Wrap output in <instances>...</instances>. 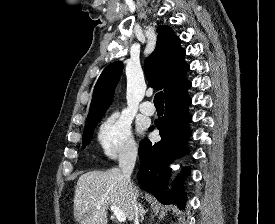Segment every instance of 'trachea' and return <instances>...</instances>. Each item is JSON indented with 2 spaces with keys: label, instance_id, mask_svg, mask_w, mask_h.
Listing matches in <instances>:
<instances>
[{
  "label": "trachea",
  "instance_id": "1",
  "mask_svg": "<svg viewBox=\"0 0 275 224\" xmlns=\"http://www.w3.org/2000/svg\"><path fill=\"white\" fill-rule=\"evenodd\" d=\"M154 104L155 106H164V96L163 92H158L154 97Z\"/></svg>",
  "mask_w": 275,
  "mask_h": 224
}]
</instances>
